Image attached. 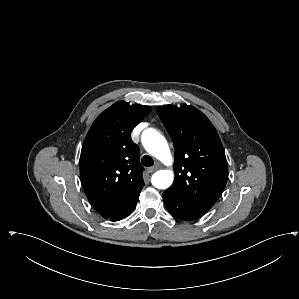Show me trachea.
<instances>
[{
	"mask_svg": "<svg viewBox=\"0 0 299 299\" xmlns=\"http://www.w3.org/2000/svg\"><path fill=\"white\" fill-rule=\"evenodd\" d=\"M141 163L146 167H150L154 164V161L149 155H144L141 159Z\"/></svg>",
	"mask_w": 299,
	"mask_h": 299,
	"instance_id": "trachea-1",
	"label": "trachea"
}]
</instances>
